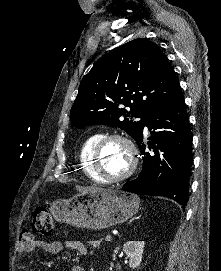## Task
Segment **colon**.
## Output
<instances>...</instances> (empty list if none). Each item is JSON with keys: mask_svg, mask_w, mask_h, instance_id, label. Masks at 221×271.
Segmentation results:
<instances>
[{"mask_svg": "<svg viewBox=\"0 0 221 271\" xmlns=\"http://www.w3.org/2000/svg\"><path fill=\"white\" fill-rule=\"evenodd\" d=\"M53 231V221L47 208H37L30 224L21 232V240L30 242L35 235L50 234Z\"/></svg>", "mask_w": 221, "mask_h": 271, "instance_id": "1", "label": "colon"}]
</instances>
